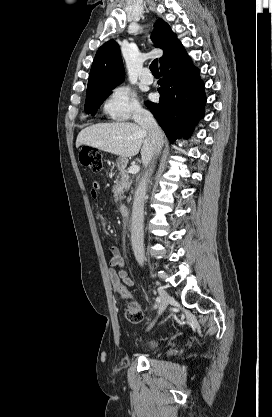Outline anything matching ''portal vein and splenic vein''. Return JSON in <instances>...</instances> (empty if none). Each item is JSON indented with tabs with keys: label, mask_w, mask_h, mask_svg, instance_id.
Here are the masks:
<instances>
[{
	"label": "portal vein and splenic vein",
	"mask_w": 272,
	"mask_h": 417,
	"mask_svg": "<svg viewBox=\"0 0 272 417\" xmlns=\"http://www.w3.org/2000/svg\"><path fill=\"white\" fill-rule=\"evenodd\" d=\"M140 171V167L138 165H132L129 168V173L131 174H137Z\"/></svg>",
	"instance_id": "18ae733b"
}]
</instances>
